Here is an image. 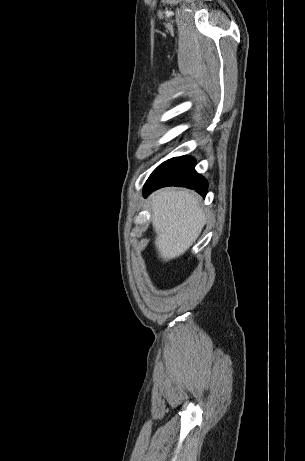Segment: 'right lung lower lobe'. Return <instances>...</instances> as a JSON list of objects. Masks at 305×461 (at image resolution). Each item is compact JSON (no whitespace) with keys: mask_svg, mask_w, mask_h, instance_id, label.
Returning <instances> with one entry per match:
<instances>
[{"mask_svg":"<svg viewBox=\"0 0 305 461\" xmlns=\"http://www.w3.org/2000/svg\"><path fill=\"white\" fill-rule=\"evenodd\" d=\"M195 159L181 156L165 161L158 166L146 181L143 189L144 197L152 191L165 186H180L194 189L203 197L206 196L208 183L194 169Z\"/></svg>","mask_w":305,"mask_h":461,"instance_id":"obj_1","label":"right lung lower lobe"}]
</instances>
